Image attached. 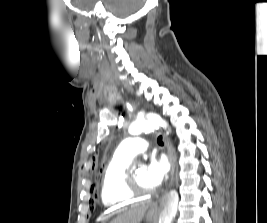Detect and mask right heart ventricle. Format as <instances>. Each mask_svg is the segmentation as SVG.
<instances>
[{"label": "right heart ventricle", "instance_id": "1", "mask_svg": "<svg viewBox=\"0 0 267 223\" xmlns=\"http://www.w3.org/2000/svg\"><path fill=\"white\" fill-rule=\"evenodd\" d=\"M131 159L121 158L116 154L106 166L101 183V201L105 208L113 212L132 202L125 188V177Z\"/></svg>", "mask_w": 267, "mask_h": 223}]
</instances>
